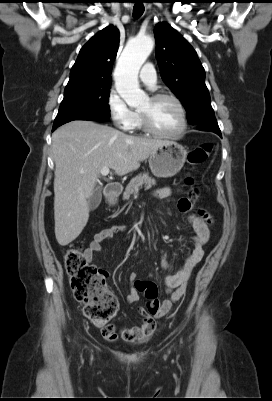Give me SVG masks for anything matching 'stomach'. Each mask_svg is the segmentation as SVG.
<instances>
[{
  "mask_svg": "<svg viewBox=\"0 0 272 401\" xmlns=\"http://www.w3.org/2000/svg\"><path fill=\"white\" fill-rule=\"evenodd\" d=\"M187 156L186 149L174 142L157 148L149 158V167L154 176L158 178H169L176 175L183 167Z\"/></svg>",
  "mask_w": 272,
  "mask_h": 401,
  "instance_id": "0dacf381",
  "label": "stomach"
}]
</instances>
